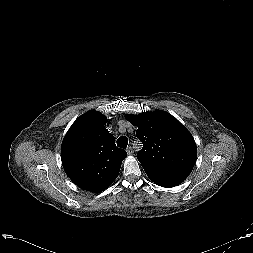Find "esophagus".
Returning <instances> with one entry per match:
<instances>
[{
    "instance_id": "34e87169",
    "label": "esophagus",
    "mask_w": 253,
    "mask_h": 253,
    "mask_svg": "<svg viewBox=\"0 0 253 253\" xmlns=\"http://www.w3.org/2000/svg\"><path fill=\"white\" fill-rule=\"evenodd\" d=\"M126 151H127L128 155H132L133 152H134V150H133V148L131 146H129Z\"/></svg>"
}]
</instances>
